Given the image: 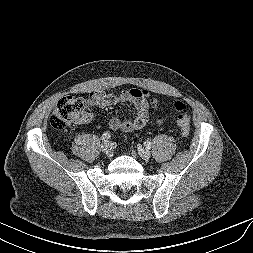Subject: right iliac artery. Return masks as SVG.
Wrapping results in <instances>:
<instances>
[{
  "instance_id": "right-iliac-artery-1",
  "label": "right iliac artery",
  "mask_w": 253,
  "mask_h": 253,
  "mask_svg": "<svg viewBox=\"0 0 253 253\" xmlns=\"http://www.w3.org/2000/svg\"><path fill=\"white\" fill-rule=\"evenodd\" d=\"M111 138V134L109 132H106L104 133L102 136H101V140L102 142H107V140H109Z\"/></svg>"
}]
</instances>
